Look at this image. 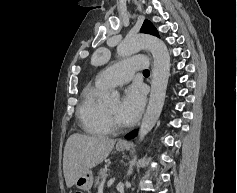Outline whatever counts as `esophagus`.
Returning <instances> with one entry per match:
<instances>
[{
  "mask_svg": "<svg viewBox=\"0 0 237 193\" xmlns=\"http://www.w3.org/2000/svg\"><path fill=\"white\" fill-rule=\"evenodd\" d=\"M118 144L120 145H126V143L124 141H119Z\"/></svg>",
  "mask_w": 237,
  "mask_h": 193,
  "instance_id": "esophagus-1",
  "label": "esophagus"
}]
</instances>
